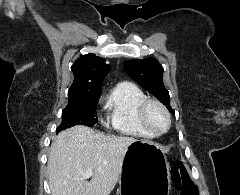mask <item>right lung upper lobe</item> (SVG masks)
Wrapping results in <instances>:
<instances>
[{"instance_id": "1", "label": "right lung upper lobe", "mask_w": 240, "mask_h": 195, "mask_svg": "<svg viewBox=\"0 0 240 195\" xmlns=\"http://www.w3.org/2000/svg\"><path fill=\"white\" fill-rule=\"evenodd\" d=\"M74 81L68 91V99L100 97L102 82L110 66L94 54L77 59L71 67Z\"/></svg>"}]
</instances>
